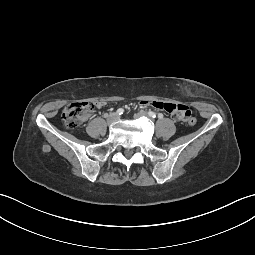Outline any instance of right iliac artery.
<instances>
[{
  "instance_id": "right-iliac-artery-1",
  "label": "right iliac artery",
  "mask_w": 255,
  "mask_h": 255,
  "mask_svg": "<svg viewBox=\"0 0 255 255\" xmlns=\"http://www.w3.org/2000/svg\"><path fill=\"white\" fill-rule=\"evenodd\" d=\"M123 112H124V109H122V108H119V109L116 111V113L119 114V115L123 114Z\"/></svg>"
}]
</instances>
